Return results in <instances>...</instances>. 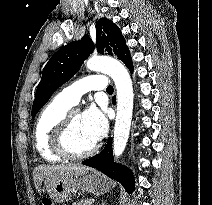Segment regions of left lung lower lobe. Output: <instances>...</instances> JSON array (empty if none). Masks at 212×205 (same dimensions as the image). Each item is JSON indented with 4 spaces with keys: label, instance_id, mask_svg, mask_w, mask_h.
Segmentation results:
<instances>
[{
    "label": "left lung lower lobe",
    "instance_id": "left-lung-lower-lobe-1",
    "mask_svg": "<svg viewBox=\"0 0 212 205\" xmlns=\"http://www.w3.org/2000/svg\"><path fill=\"white\" fill-rule=\"evenodd\" d=\"M124 64L133 72L131 57H129ZM83 164L96 168L108 177L120 182L128 193L134 191V178L131 171L120 164L114 163L111 140L108 141L105 148L99 154L83 161Z\"/></svg>",
    "mask_w": 212,
    "mask_h": 205
}]
</instances>
